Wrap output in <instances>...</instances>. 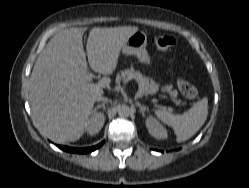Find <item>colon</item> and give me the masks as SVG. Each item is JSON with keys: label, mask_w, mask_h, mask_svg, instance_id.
Masks as SVG:
<instances>
[{"label": "colon", "mask_w": 249, "mask_h": 188, "mask_svg": "<svg viewBox=\"0 0 249 188\" xmlns=\"http://www.w3.org/2000/svg\"><path fill=\"white\" fill-rule=\"evenodd\" d=\"M152 44L159 50L171 51L176 46V40L173 37L167 35H155L152 38ZM177 84L179 90L185 97L194 99L197 96V89L187 80L179 79Z\"/></svg>", "instance_id": "5ec220e1"}]
</instances>
